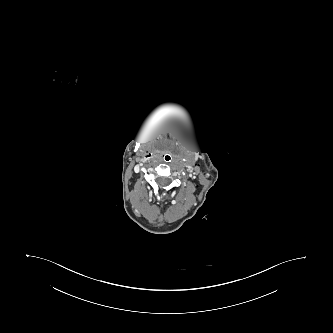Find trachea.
I'll list each match as a JSON object with an SVG mask.
<instances>
[{
  "mask_svg": "<svg viewBox=\"0 0 333 333\" xmlns=\"http://www.w3.org/2000/svg\"><path fill=\"white\" fill-rule=\"evenodd\" d=\"M162 162L166 166H171L174 163V158L170 153H165L162 157Z\"/></svg>",
  "mask_w": 333,
  "mask_h": 333,
  "instance_id": "obj_1",
  "label": "trachea"
}]
</instances>
